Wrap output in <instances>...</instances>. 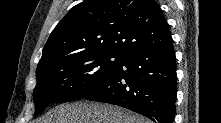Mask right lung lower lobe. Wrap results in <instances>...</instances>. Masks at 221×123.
Segmentation results:
<instances>
[{
	"mask_svg": "<svg viewBox=\"0 0 221 123\" xmlns=\"http://www.w3.org/2000/svg\"><path fill=\"white\" fill-rule=\"evenodd\" d=\"M176 96V57L169 37L127 53L109 77L82 98L122 106L155 123H173Z\"/></svg>",
	"mask_w": 221,
	"mask_h": 123,
	"instance_id": "right-lung-lower-lobe-1",
	"label": "right lung lower lobe"
}]
</instances>
